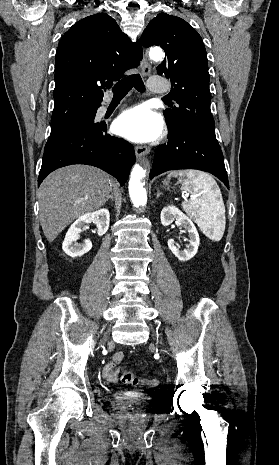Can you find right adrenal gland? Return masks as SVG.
I'll use <instances>...</instances> for the list:
<instances>
[{
	"label": "right adrenal gland",
	"mask_w": 279,
	"mask_h": 465,
	"mask_svg": "<svg viewBox=\"0 0 279 465\" xmlns=\"http://www.w3.org/2000/svg\"><path fill=\"white\" fill-rule=\"evenodd\" d=\"M110 199H111L112 201H114V197H113L112 190H111V194L109 195V197L107 198L106 201L108 202Z\"/></svg>",
	"instance_id": "obj_1"
}]
</instances>
